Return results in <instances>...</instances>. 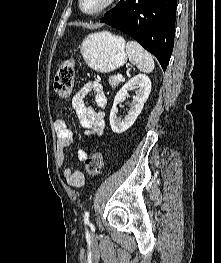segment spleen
I'll list each match as a JSON object with an SVG mask.
<instances>
[{"label":"spleen","mask_w":221,"mask_h":263,"mask_svg":"<svg viewBox=\"0 0 221 263\" xmlns=\"http://www.w3.org/2000/svg\"><path fill=\"white\" fill-rule=\"evenodd\" d=\"M126 52L129 61L136 65L139 71L150 73L154 69V60L150 53H148L138 42L129 41L126 44Z\"/></svg>","instance_id":"obj_1"}]
</instances>
